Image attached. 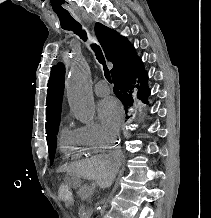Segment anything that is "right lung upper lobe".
Returning <instances> with one entry per match:
<instances>
[{
  "mask_svg": "<svg viewBox=\"0 0 211 218\" xmlns=\"http://www.w3.org/2000/svg\"><path fill=\"white\" fill-rule=\"evenodd\" d=\"M95 32L101 44L106 59L113 63V69L136 55L134 47L123 36L114 30L97 23ZM111 70V72L113 71ZM64 92V66L59 63L51 69L48 82L46 101V131L47 135L52 131L56 122L60 120L61 103Z\"/></svg>",
  "mask_w": 211,
  "mask_h": 218,
  "instance_id": "1",
  "label": "right lung upper lobe"
}]
</instances>
